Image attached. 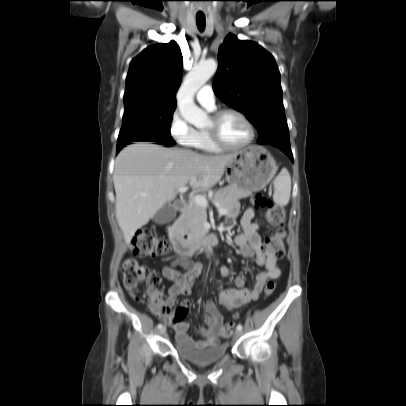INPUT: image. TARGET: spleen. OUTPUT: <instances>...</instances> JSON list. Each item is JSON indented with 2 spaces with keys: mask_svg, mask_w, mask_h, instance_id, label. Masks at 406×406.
<instances>
[{
  "mask_svg": "<svg viewBox=\"0 0 406 406\" xmlns=\"http://www.w3.org/2000/svg\"><path fill=\"white\" fill-rule=\"evenodd\" d=\"M273 199L276 204L285 206L288 204L291 194V176L286 168L282 169L274 180Z\"/></svg>",
  "mask_w": 406,
  "mask_h": 406,
  "instance_id": "3e777b00",
  "label": "spleen"
}]
</instances>
